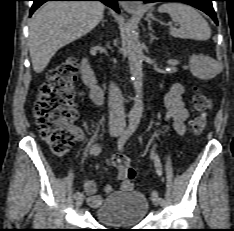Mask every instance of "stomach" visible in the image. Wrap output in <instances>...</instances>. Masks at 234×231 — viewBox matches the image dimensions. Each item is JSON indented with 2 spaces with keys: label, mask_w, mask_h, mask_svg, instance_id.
<instances>
[{
  "label": "stomach",
  "mask_w": 234,
  "mask_h": 231,
  "mask_svg": "<svg viewBox=\"0 0 234 231\" xmlns=\"http://www.w3.org/2000/svg\"><path fill=\"white\" fill-rule=\"evenodd\" d=\"M147 18H153L152 14H151V13H148V14H147Z\"/></svg>",
  "instance_id": "0dacf381"
}]
</instances>
